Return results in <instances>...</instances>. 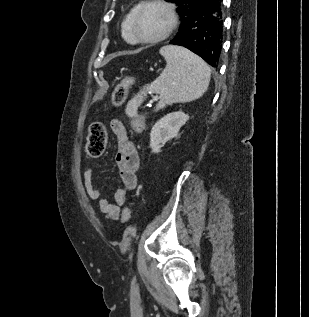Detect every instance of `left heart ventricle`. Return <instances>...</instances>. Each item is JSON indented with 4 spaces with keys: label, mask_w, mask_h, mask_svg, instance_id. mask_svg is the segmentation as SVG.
Segmentation results:
<instances>
[{
    "label": "left heart ventricle",
    "mask_w": 309,
    "mask_h": 317,
    "mask_svg": "<svg viewBox=\"0 0 309 317\" xmlns=\"http://www.w3.org/2000/svg\"><path fill=\"white\" fill-rule=\"evenodd\" d=\"M169 24V16L165 9L150 6L141 13L137 28L144 38H154L161 35Z\"/></svg>",
    "instance_id": "1"
}]
</instances>
